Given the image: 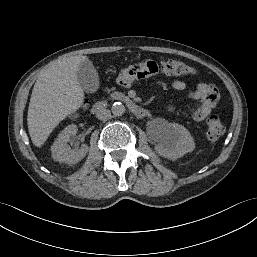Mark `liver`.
I'll list each match as a JSON object with an SVG mask.
<instances>
[{
    "instance_id": "1",
    "label": "liver",
    "mask_w": 257,
    "mask_h": 257,
    "mask_svg": "<svg viewBox=\"0 0 257 257\" xmlns=\"http://www.w3.org/2000/svg\"><path fill=\"white\" fill-rule=\"evenodd\" d=\"M86 60V56L58 59L39 74L27 116L29 135L36 147H41L54 128L82 106L84 92L77 71Z\"/></svg>"
}]
</instances>
